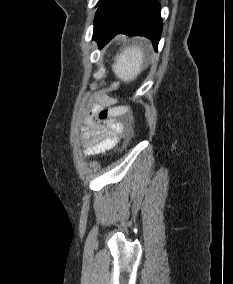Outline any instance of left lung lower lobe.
Here are the masks:
<instances>
[{
  "label": "left lung lower lobe",
  "instance_id": "obj_1",
  "mask_svg": "<svg viewBox=\"0 0 233 284\" xmlns=\"http://www.w3.org/2000/svg\"><path fill=\"white\" fill-rule=\"evenodd\" d=\"M161 31L157 0H102L94 19L93 39L103 47L120 33L144 36L157 50Z\"/></svg>",
  "mask_w": 233,
  "mask_h": 284
}]
</instances>
